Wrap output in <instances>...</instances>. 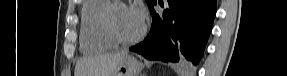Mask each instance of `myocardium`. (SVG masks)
<instances>
[{"label": "myocardium", "instance_id": "obj_1", "mask_svg": "<svg viewBox=\"0 0 287 76\" xmlns=\"http://www.w3.org/2000/svg\"><path fill=\"white\" fill-rule=\"evenodd\" d=\"M118 7H128L127 3L123 1H111V3L106 7L103 11L100 27L103 34L109 39L114 45H124V44H132L141 40L146 34L147 27L146 25L142 26L140 32L131 37L122 36L114 26L113 17L114 12Z\"/></svg>", "mask_w": 287, "mask_h": 76}]
</instances>
